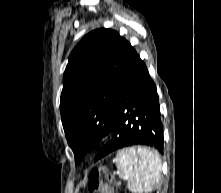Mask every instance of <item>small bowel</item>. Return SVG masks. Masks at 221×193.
Here are the masks:
<instances>
[{
    "label": "small bowel",
    "instance_id": "obj_1",
    "mask_svg": "<svg viewBox=\"0 0 221 193\" xmlns=\"http://www.w3.org/2000/svg\"><path fill=\"white\" fill-rule=\"evenodd\" d=\"M100 193H114V191L108 184H103Z\"/></svg>",
    "mask_w": 221,
    "mask_h": 193
}]
</instances>
